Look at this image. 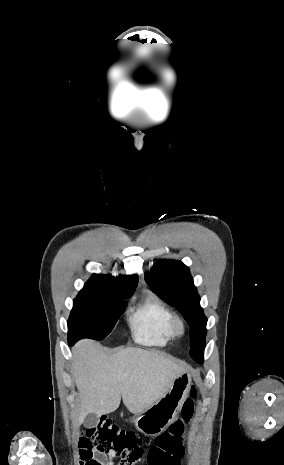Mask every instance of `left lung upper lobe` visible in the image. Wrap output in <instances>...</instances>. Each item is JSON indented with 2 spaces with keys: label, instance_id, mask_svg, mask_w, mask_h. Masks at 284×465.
Instances as JSON below:
<instances>
[{
  "label": "left lung upper lobe",
  "instance_id": "left-lung-upper-lobe-1",
  "mask_svg": "<svg viewBox=\"0 0 284 465\" xmlns=\"http://www.w3.org/2000/svg\"><path fill=\"white\" fill-rule=\"evenodd\" d=\"M145 280L149 287L169 305L181 312L190 327V356L203 362L207 318L189 268L180 261L160 260Z\"/></svg>",
  "mask_w": 284,
  "mask_h": 465
}]
</instances>
